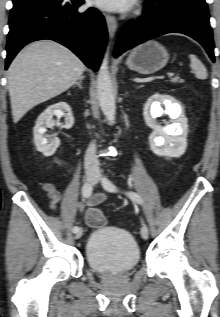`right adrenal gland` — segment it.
Instances as JSON below:
<instances>
[{"instance_id":"obj_1","label":"right adrenal gland","mask_w":220,"mask_h":317,"mask_svg":"<svg viewBox=\"0 0 220 317\" xmlns=\"http://www.w3.org/2000/svg\"><path fill=\"white\" fill-rule=\"evenodd\" d=\"M84 78H85V76L82 75V76L79 78V80L75 83V85H74L73 87L78 86L80 89H82L81 83H82V81H83Z\"/></svg>"}]
</instances>
